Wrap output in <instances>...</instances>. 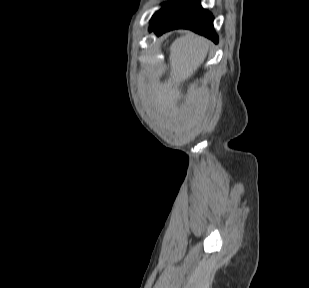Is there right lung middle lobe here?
<instances>
[{
	"label": "right lung middle lobe",
	"instance_id": "obj_1",
	"mask_svg": "<svg viewBox=\"0 0 309 288\" xmlns=\"http://www.w3.org/2000/svg\"><path fill=\"white\" fill-rule=\"evenodd\" d=\"M184 0H173L170 2H166L162 8L157 11L151 18L150 26L156 24L160 21L166 14L178 8Z\"/></svg>",
	"mask_w": 309,
	"mask_h": 288
}]
</instances>
